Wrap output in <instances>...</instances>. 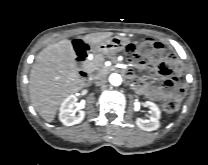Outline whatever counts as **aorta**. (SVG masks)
<instances>
[{
	"label": "aorta",
	"mask_w": 208,
	"mask_h": 165,
	"mask_svg": "<svg viewBox=\"0 0 208 165\" xmlns=\"http://www.w3.org/2000/svg\"><path fill=\"white\" fill-rule=\"evenodd\" d=\"M109 82L113 85V86H119L122 82V78L119 74L117 73H113L110 75L109 77Z\"/></svg>",
	"instance_id": "obj_1"
}]
</instances>
